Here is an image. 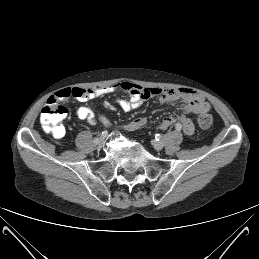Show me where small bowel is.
<instances>
[{
    "mask_svg": "<svg viewBox=\"0 0 259 259\" xmlns=\"http://www.w3.org/2000/svg\"><path fill=\"white\" fill-rule=\"evenodd\" d=\"M116 90L126 91L129 95L128 99H119L117 104L120 108L129 112L137 109L144 101L158 97L162 103H171L175 100L182 99L185 104L182 106L177 116L168 115L165 116L159 123V128L162 130L169 127L180 124L181 128L187 135H192L195 131L192 115L202 112H208L210 110V104L204 99V97L189 88H175V89H162L157 87H142L132 82H120L112 86L101 87L95 89H83V88H65L57 91L54 96L49 99L65 100L68 97H74L79 101H88L98 99L107 94H110ZM76 115L81 120H87L90 124H95L99 120L104 126L109 127L110 121L108 117L99 113H95L88 107H79L76 111ZM148 124V119L144 116L137 117L124 125V129L127 131H135L145 127Z\"/></svg>",
    "mask_w": 259,
    "mask_h": 259,
    "instance_id": "small-bowel-1",
    "label": "small bowel"
}]
</instances>
